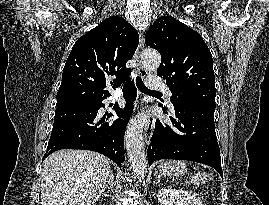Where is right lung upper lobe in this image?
<instances>
[{
	"label": "right lung upper lobe",
	"mask_w": 269,
	"mask_h": 205,
	"mask_svg": "<svg viewBox=\"0 0 269 205\" xmlns=\"http://www.w3.org/2000/svg\"><path fill=\"white\" fill-rule=\"evenodd\" d=\"M139 43L135 28L123 18L112 16L80 37L65 63L56 107L94 103L110 96L109 75L118 87L131 73L125 64Z\"/></svg>",
	"instance_id": "right-lung-upper-lobe-1"
}]
</instances>
